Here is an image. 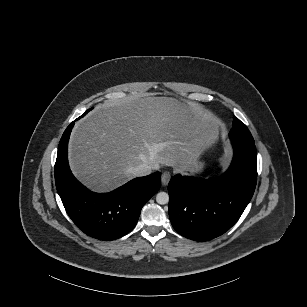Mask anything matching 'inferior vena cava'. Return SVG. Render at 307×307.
Wrapping results in <instances>:
<instances>
[{"label": "inferior vena cava", "instance_id": "1", "mask_svg": "<svg viewBox=\"0 0 307 307\" xmlns=\"http://www.w3.org/2000/svg\"><path fill=\"white\" fill-rule=\"evenodd\" d=\"M128 173L132 174L135 177H143L151 173V168L147 164H141L137 167L129 168Z\"/></svg>", "mask_w": 307, "mask_h": 307}]
</instances>
